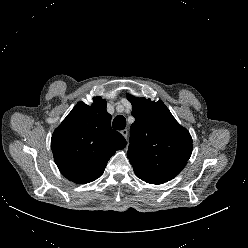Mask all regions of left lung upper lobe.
I'll list each match as a JSON object with an SVG mask.
<instances>
[{
  "mask_svg": "<svg viewBox=\"0 0 248 248\" xmlns=\"http://www.w3.org/2000/svg\"><path fill=\"white\" fill-rule=\"evenodd\" d=\"M135 122L131 125L127 156L135 174L151 184L176 177L192 153V138L162 101L128 94Z\"/></svg>",
  "mask_w": 248,
  "mask_h": 248,
  "instance_id": "obj_1",
  "label": "left lung upper lobe"
}]
</instances>
